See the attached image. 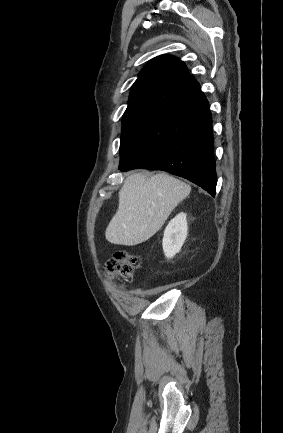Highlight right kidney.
<instances>
[{"instance_id": "obj_1", "label": "right kidney", "mask_w": 283, "mask_h": 433, "mask_svg": "<svg viewBox=\"0 0 283 433\" xmlns=\"http://www.w3.org/2000/svg\"><path fill=\"white\" fill-rule=\"evenodd\" d=\"M188 234V223L185 213H179L167 225L164 231L162 246L165 257L173 258L179 253Z\"/></svg>"}]
</instances>
